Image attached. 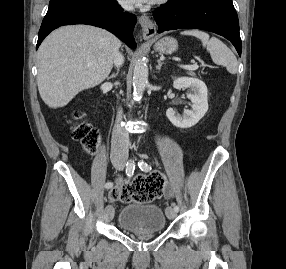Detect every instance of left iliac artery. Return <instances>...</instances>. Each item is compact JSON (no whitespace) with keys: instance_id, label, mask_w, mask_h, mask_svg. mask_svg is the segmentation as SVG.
I'll list each match as a JSON object with an SVG mask.
<instances>
[{"instance_id":"1","label":"left iliac artery","mask_w":286,"mask_h":269,"mask_svg":"<svg viewBox=\"0 0 286 269\" xmlns=\"http://www.w3.org/2000/svg\"><path fill=\"white\" fill-rule=\"evenodd\" d=\"M138 166L142 171H145V172H148L151 170V166L148 163L144 162L143 160L138 162ZM172 206L176 212L179 211V207L175 203H173Z\"/></svg>"}]
</instances>
